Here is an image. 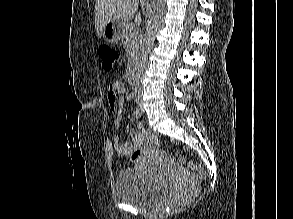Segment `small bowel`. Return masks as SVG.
<instances>
[{
	"label": "small bowel",
	"instance_id": "small-bowel-1",
	"mask_svg": "<svg viewBox=\"0 0 293 219\" xmlns=\"http://www.w3.org/2000/svg\"><path fill=\"white\" fill-rule=\"evenodd\" d=\"M125 87L120 82L110 84L108 91V101L111 108L115 111L113 124L115 129H119L122 123V114L120 108L123 103ZM147 131L142 124L137 126L136 130L130 131L132 140L130 142H120L119 136L116 134L113 138L115 150L122 157H129L131 153L141 146L146 139Z\"/></svg>",
	"mask_w": 293,
	"mask_h": 219
}]
</instances>
